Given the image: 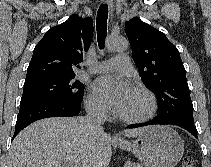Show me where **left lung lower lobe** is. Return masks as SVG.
<instances>
[{
	"label": "left lung lower lobe",
	"instance_id": "0a47b994",
	"mask_svg": "<svg viewBox=\"0 0 211 167\" xmlns=\"http://www.w3.org/2000/svg\"><path fill=\"white\" fill-rule=\"evenodd\" d=\"M156 124H173V125H177V126H180V127L184 128V129H186L193 136L198 138L197 130H196V127H195L194 123L188 122V121H185V120H180V119L170 120V119H158V118H155V119H153L151 121H148V122H145V123L130 125V126H128V128H137V127H142V126H147V125H156Z\"/></svg>",
	"mask_w": 211,
	"mask_h": 167
}]
</instances>
